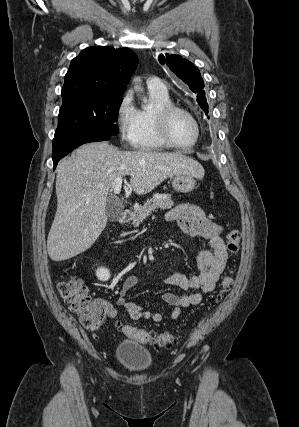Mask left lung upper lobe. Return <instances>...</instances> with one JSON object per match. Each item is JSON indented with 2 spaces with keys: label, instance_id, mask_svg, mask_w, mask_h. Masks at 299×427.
Returning a JSON list of instances; mask_svg holds the SVG:
<instances>
[{
  "label": "left lung upper lobe",
  "instance_id": "1",
  "mask_svg": "<svg viewBox=\"0 0 299 427\" xmlns=\"http://www.w3.org/2000/svg\"><path fill=\"white\" fill-rule=\"evenodd\" d=\"M158 60L161 64H166L194 93H197L198 104L204 112L208 114V104L205 98V92L203 91L204 82L199 69L193 63L183 59L179 55L166 54L164 56L161 54Z\"/></svg>",
  "mask_w": 299,
  "mask_h": 427
}]
</instances>
